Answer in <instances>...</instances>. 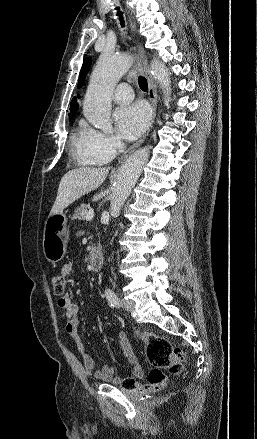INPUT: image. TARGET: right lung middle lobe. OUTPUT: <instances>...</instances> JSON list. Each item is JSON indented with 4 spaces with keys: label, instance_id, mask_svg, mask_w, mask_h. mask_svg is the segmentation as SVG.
<instances>
[{
    "label": "right lung middle lobe",
    "instance_id": "1",
    "mask_svg": "<svg viewBox=\"0 0 257 439\" xmlns=\"http://www.w3.org/2000/svg\"><path fill=\"white\" fill-rule=\"evenodd\" d=\"M75 112H71V113H69V116H71V115H73Z\"/></svg>",
    "mask_w": 257,
    "mask_h": 439
}]
</instances>
